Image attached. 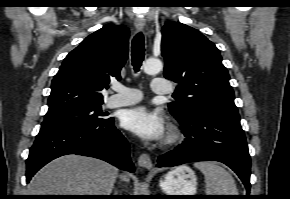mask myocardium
<instances>
[{"label": "myocardium", "mask_w": 290, "mask_h": 199, "mask_svg": "<svg viewBox=\"0 0 290 199\" xmlns=\"http://www.w3.org/2000/svg\"><path fill=\"white\" fill-rule=\"evenodd\" d=\"M181 137H182V133H181V130L179 129V127L172 124V125H170V127L168 129L167 135H166L165 140H164V145H166V146L173 145V144L177 143Z\"/></svg>", "instance_id": "1"}]
</instances>
